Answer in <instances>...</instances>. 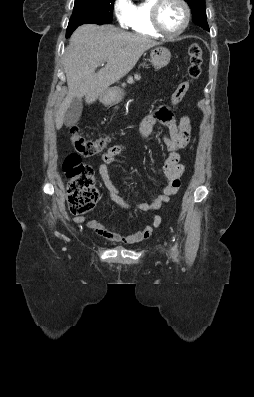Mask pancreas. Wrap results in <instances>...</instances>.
Listing matches in <instances>:
<instances>
[{
  "label": "pancreas",
  "instance_id": "cf45deb5",
  "mask_svg": "<svg viewBox=\"0 0 254 397\" xmlns=\"http://www.w3.org/2000/svg\"><path fill=\"white\" fill-rule=\"evenodd\" d=\"M141 79V76L140 75H138V74H136L135 76H134V78L133 77H128V79H127V83H129V84H133L134 83V80H140ZM122 86H125V83L124 84H122Z\"/></svg>",
  "mask_w": 254,
  "mask_h": 397
}]
</instances>
